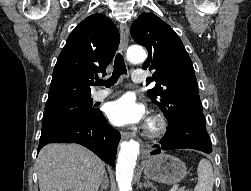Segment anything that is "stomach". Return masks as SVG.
I'll use <instances>...</instances> for the list:
<instances>
[{
  "instance_id": "1",
  "label": "stomach",
  "mask_w": 251,
  "mask_h": 191,
  "mask_svg": "<svg viewBox=\"0 0 251 191\" xmlns=\"http://www.w3.org/2000/svg\"><path fill=\"white\" fill-rule=\"evenodd\" d=\"M145 177L160 181V183H177L185 177L187 167L184 161L169 155V153H158L145 159L144 163Z\"/></svg>"
}]
</instances>
